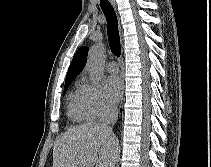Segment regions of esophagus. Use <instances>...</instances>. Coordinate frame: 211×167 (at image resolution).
Returning <instances> with one entry per match:
<instances>
[{"instance_id":"1","label":"esophagus","mask_w":211,"mask_h":167,"mask_svg":"<svg viewBox=\"0 0 211 167\" xmlns=\"http://www.w3.org/2000/svg\"><path fill=\"white\" fill-rule=\"evenodd\" d=\"M112 4L115 5V0H111Z\"/></svg>"}]
</instances>
